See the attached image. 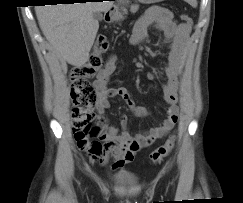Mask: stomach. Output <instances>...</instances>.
I'll return each mask as SVG.
<instances>
[{
    "label": "stomach",
    "mask_w": 243,
    "mask_h": 203,
    "mask_svg": "<svg viewBox=\"0 0 243 203\" xmlns=\"http://www.w3.org/2000/svg\"><path fill=\"white\" fill-rule=\"evenodd\" d=\"M138 1L143 4H153L157 2H162L163 0H138ZM118 3H119L118 6H121V9H119V7H115V9L109 13V20L111 22L117 21L122 18V14H123L122 11H124L122 10L123 6L127 5L129 3V0H118Z\"/></svg>",
    "instance_id": "1"
}]
</instances>
